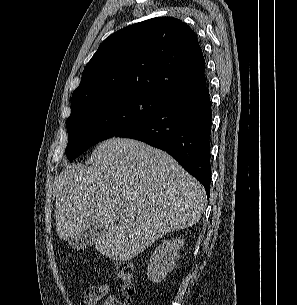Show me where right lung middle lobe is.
Listing matches in <instances>:
<instances>
[{
  "instance_id": "right-lung-middle-lobe-1",
  "label": "right lung middle lobe",
  "mask_w": 297,
  "mask_h": 305,
  "mask_svg": "<svg viewBox=\"0 0 297 305\" xmlns=\"http://www.w3.org/2000/svg\"><path fill=\"white\" fill-rule=\"evenodd\" d=\"M167 99L151 93H123L73 110L67 119V157L72 162L97 142L141 122L159 109Z\"/></svg>"
}]
</instances>
